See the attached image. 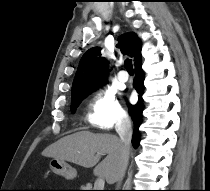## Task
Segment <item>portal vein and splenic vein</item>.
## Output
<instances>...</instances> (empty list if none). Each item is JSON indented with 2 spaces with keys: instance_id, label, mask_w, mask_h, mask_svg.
Instances as JSON below:
<instances>
[{
  "instance_id": "1",
  "label": "portal vein and splenic vein",
  "mask_w": 210,
  "mask_h": 191,
  "mask_svg": "<svg viewBox=\"0 0 210 191\" xmlns=\"http://www.w3.org/2000/svg\"><path fill=\"white\" fill-rule=\"evenodd\" d=\"M104 184H105L104 178L99 177V178H97L96 181H95L94 189H95V190H103Z\"/></svg>"
}]
</instances>
